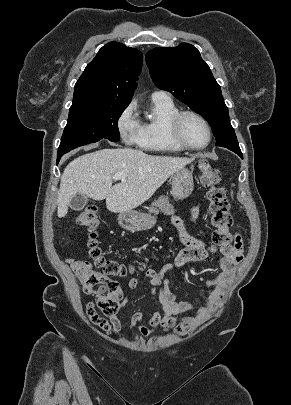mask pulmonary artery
<instances>
[{"label": "pulmonary artery", "instance_id": "pulmonary-artery-1", "mask_svg": "<svg viewBox=\"0 0 291 405\" xmlns=\"http://www.w3.org/2000/svg\"><path fill=\"white\" fill-rule=\"evenodd\" d=\"M151 97L152 99H170L169 94L163 90L153 91Z\"/></svg>", "mask_w": 291, "mask_h": 405}]
</instances>
